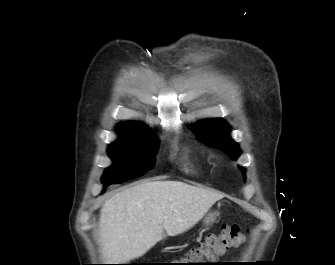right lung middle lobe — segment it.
Returning a JSON list of instances; mask_svg holds the SVG:
<instances>
[{"instance_id": "dd1d6c3e", "label": "right lung middle lobe", "mask_w": 335, "mask_h": 265, "mask_svg": "<svg viewBox=\"0 0 335 265\" xmlns=\"http://www.w3.org/2000/svg\"><path fill=\"white\" fill-rule=\"evenodd\" d=\"M119 139L111 143L108 153L113 165L101 178L105 185L120 184L144 175L153 168L159 145L152 134L146 131L126 130L119 132Z\"/></svg>"}]
</instances>
